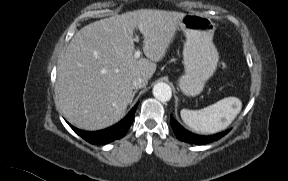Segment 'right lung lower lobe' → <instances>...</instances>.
<instances>
[{
    "label": "right lung lower lobe",
    "instance_id": "98d812e1",
    "mask_svg": "<svg viewBox=\"0 0 288 181\" xmlns=\"http://www.w3.org/2000/svg\"><path fill=\"white\" fill-rule=\"evenodd\" d=\"M136 108L137 105L134 106L128 113V115L124 119H122L119 123L104 130L88 132L79 130L71 126L70 124L69 125L80 137H82L87 142L93 145H105L114 140L120 139L126 135L128 129L130 128V126L134 121V114Z\"/></svg>",
    "mask_w": 288,
    "mask_h": 181
}]
</instances>
